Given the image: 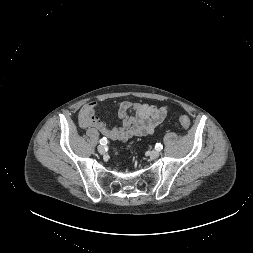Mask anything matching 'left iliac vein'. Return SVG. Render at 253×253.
Returning a JSON list of instances; mask_svg holds the SVG:
<instances>
[{"mask_svg": "<svg viewBox=\"0 0 253 253\" xmlns=\"http://www.w3.org/2000/svg\"><path fill=\"white\" fill-rule=\"evenodd\" d=\"M149 155H150V157H151L152 159H156V158L159 157L160 151H159V150H153V151L150 152Z\"/></svg>", "mask_w": 253, "mask_h": 253, "instance_id": "left-iliac-vein-1", "label": "left iliac vein"}]
</instances>
